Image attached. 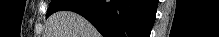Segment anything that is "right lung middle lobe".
<instances>
[{"mask_svg": "<svg viewBox=\"0 0 219 37\" xmlns=\"http://www.w3.org/2000/svg\"><path fill=\"white\" fill-rule=\"evenodd\" d=\"M69 2L70 1L68 0H52L47 10V17L57 11H60L61 8Z\"/></svg>", "mask_w": 219, "mask_h": 37, "instance_id": "right-lung-middle-lobe-1", "label": "right lung middle lobe"}]
</instances>
